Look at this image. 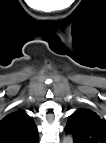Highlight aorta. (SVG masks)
I'll list each match as a JSON object with an SVG mask.
<instances>
[{
    "instance_id": "aorta-1",
    "label": "aorta",
    "mask_w": 106,
    "mask_h": 143,
    "mask_svg": "<svg viewBox=\"0 0 106 143\" xmlns=\"http://www.w3.org/2000/svg\"><path fill=\"white\" fill-rule=\"evenodd\" d=\"M63 143H73V137L71 135H66L63 138Z\"/></svg>"
}]
</instances>
